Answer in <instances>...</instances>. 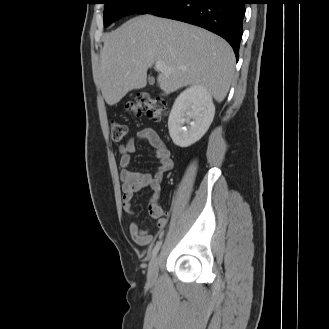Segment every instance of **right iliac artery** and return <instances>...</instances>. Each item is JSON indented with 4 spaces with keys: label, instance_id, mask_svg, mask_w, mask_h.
<instances>
[{
    "label": "right iliac artery",
    "instance_id": "obj_1",
    "mask_svg": "<svg viewBox=\"0 0 329 329\" xmlns=\"http://www.w3.org/2000/svg\"><path fill=\"white\" fill-rule=\"evenodd\" d=\"M161 244H162L161 241H158V242L156 243V245L154 246V248H153V250H152V257H155V256H156V254L158 253V251H159V249H160V247H161Z\"/></svg>",
    "mask_w": 329,
    "mask_h": 329
}]
</instances>
